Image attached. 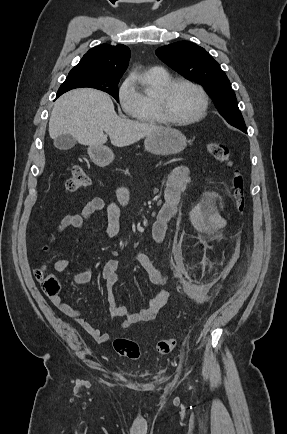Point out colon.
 I'll return each instance as SVG.
<instances>
[{"instance_id": "colon-1", "label": "colon", "mask_w": 287, "mask_h": 434, "mask_svg": "<svg viewBox=\"0 0 287 434\" xmlns=\"http://www.w3.org/2000/svg\"><path fill=\"white\" fill-rule=\"evenodd\" d=\"M209 154L217 161L233 166V155L229 148L219 142H209L207 144ZM91 179L88 174L81 168L75 167L71 176L65 183L67 192H76L84 190L90 186ZM231 197L234 204V210L237 214H242L245 208V180L239 169L233 170L231 179ZM35 277L40 283L42 290L49 297H56L60 293V283L58 279L48 273L43 267L35 270ZM176 346L174 338H167L156 343L155 349L158 354H169ZM116 353L120 356L137 360L141 357L142 352L139 344L126 338H116L113 342Z\"/></svg>"}]
</instances>
